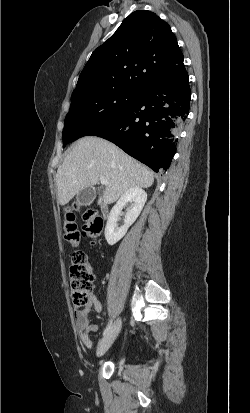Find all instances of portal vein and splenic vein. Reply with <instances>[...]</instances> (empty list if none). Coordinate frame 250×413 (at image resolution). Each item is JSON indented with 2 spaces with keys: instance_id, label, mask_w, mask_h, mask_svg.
Returning a JSON list of instances; mask_svg holds the SVG:
<instances>
[{
  "instance_id": "portal-vein-and-splenic-vein-1",
  "label": "portal vein and splenic vein",
  "mask_w": 250,
  "mask_h": 413,
  "mask_svg": "<svg viewBox=\"0 0 250 413\" xmlns=\"http://www.w3.org/2000/svg\"><path fill=\"white\" fill-rule=\"evenodd\" d=\"M100 182H101V184H103V185H109V182H108V180L105 178V177H103V176H101L100 177Z\"/></svg>"
}]
</instances>
